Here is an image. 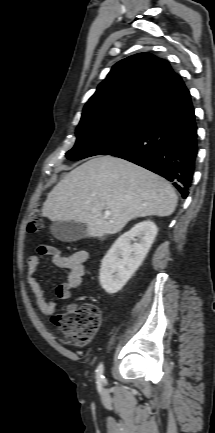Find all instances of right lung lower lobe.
Segmentation results:
<instances>
[{"instance_id": "98d812e1", "label": "right lung lower lobe", "mask_w": 215, "mask_h": 433, "mask_svg": "<svg viewBox=\"0 0 215 433\" xmlns=\"http://www.w3.org/2000/svg\"><path fill=\"white\" fill-rule=\"evenodd\" d=\"M108 155L175 181L186 198L197 156V126L189 91L185 89L149 111L136 137Z\"/></svg>"}]
</instances>
